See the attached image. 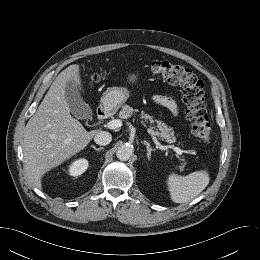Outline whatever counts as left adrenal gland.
Wrapping results in <instances>:
<instances>
[{"label": "left adrenal gland", "instance_id": "1", "mask_svg": "<svg viewBox=\"0 0 260 260\" xmlns=\"http://www.w3.org/2000/svg\"><path fill=\"white\" fill-rule=\"evenodd\" d=\"M144 145H146V148H147V157H148V159L150 160V158H151V152L152 151H155V149L154 148H152L151 146H150V144H149V142H147V141H143L142 142Z\"/></svg>", "mask_w": 260, "mask_h": 260}]
</instances>
